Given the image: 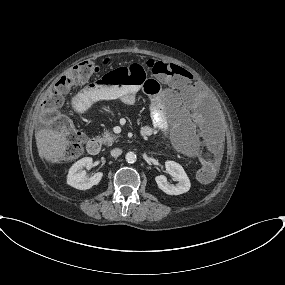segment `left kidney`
Returning <instances> with one entry per match:
<instances>
[{
  "label": "left kidney",
  "instance_id": "1",
  "mask_svg": "<svg viewBox=\"0 0 285 285\" xmlns=\"http://www.w3.org/2000/svg\"><path fill=\"white\" fill-rule=\"evenodd\" d=\"M165 166L167 172L178 181V184L176 186L171 185L164 175H159L155 177L158 187L169 195H180L189 191L191 184L183 167L174 161H166Z\"/></svg>",
  "mask_w": 285,
  "mask_h": 285
}]
</instances>
